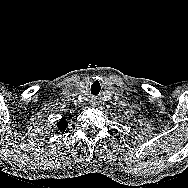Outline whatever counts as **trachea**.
Returning a JSON list of instances; mask_svg holds the SVG:
<instances>
[{
    "mask_svg": "<svg viewBox=\"0 0 188 188\" xmlns=\"http://www.w3.org/2000/svg\"><path fill=\"white\" fill-rule=\"evenodd\" d=\"M103 90V84L100 81H95L89 88V93L92 96H97Z\"/></svg>",
    "mask_w": 188,
    "mask_h": 188,
    "instance_id": "trachea-1",
    "label": "trachea"
}]
</instances>
